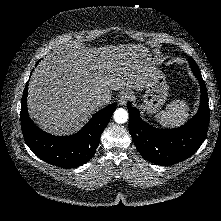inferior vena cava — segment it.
<instances>
[{
	"mask_svg": "<svg viewBox=\"0 0 221 221\" xmlns=\"http://www.w3.org/2000/svg\"><path fill=\"white\" fill-rule=\"evenodd\" d=\"M110 102V99L106 96H100L96 99L95 104L97 107L104 106Z\"/></svg>",
	"mask_w": 221,
	"mask_h": 221,
	"instance_id": "1",
	"label": "inferior vena cava"
}]
</instances>
